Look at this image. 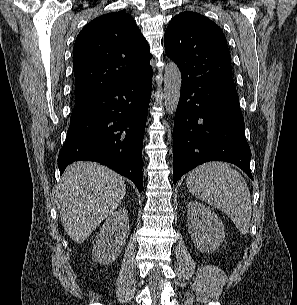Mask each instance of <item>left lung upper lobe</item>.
Segmentation results:
<instances>
[{
  "mask_svg": "<svg viewBox=\"0 0 297 305\" xmlns=\"http://www.w3.org/2000/svg\"><path fill=\"white\" fill-rule=\"evenodd\" d=\"M165 51L180 70L196 77L232 76L231 55L220 27L196 12H182L169 23Z\"/></svg>",
  "mask_w": 297,
  "mask_h": 305,
  "instance_id": "1",
  "label": "left lung upper lobe"
}]
</instances>
